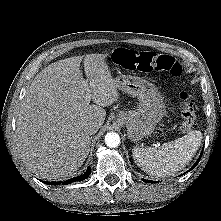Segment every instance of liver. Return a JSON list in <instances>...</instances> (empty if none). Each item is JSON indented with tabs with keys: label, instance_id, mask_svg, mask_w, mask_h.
I'll use <instances>...</instances> for the list:
<instances>
[{
	"label": "liver",
	"instance_id": "6515ba94",
	"mask_svg": "<svg viewBox=\"0 0 221 221\" xmlns=\"http://www.w3.org/2000/svg\"><path fill=\"white\" fill-rule=\"evenodd\" d=\"M105 58L90 54L59 60L32 81L21 103L15 140L22 161L37 177L66 179L83 165L91 143L87 124L96 121L101 127L104 107L119 98Z\"/></svg>",
	"mask_w": 221,
	"mask_h": 221
}]
</instances>
